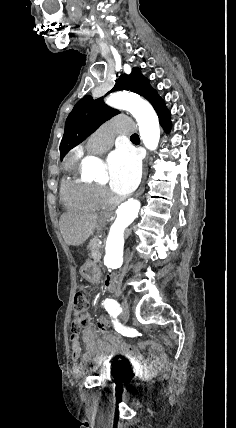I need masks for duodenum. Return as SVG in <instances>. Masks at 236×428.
<instances>
[{"label":"duodenum","instance_id":"duodenum-1","mask_svg":"<svg viewBox=\"0 0 236 428\" xmlns=\"http://www.w3.org/2000/svg\"><path fill=\"white\" fill-rule=\"evenodd\" d=\"M117 281V276L114 273H110L106 277V283L109 286H114Z\"/></svg>","mask_w":236,"mask_h":428}]
</instances>
